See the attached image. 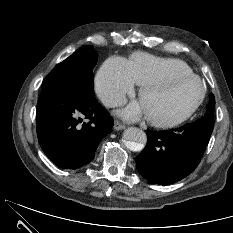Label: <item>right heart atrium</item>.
Wrapping results in <instances>:
<instances>
[{"label": "right heart atrium", "mask_w": 233, "mask_h": 233, "mask_svg": "<svg viewBox=\"0 0 233 233\" xmlns=\"http://www.w3.org/2000/svg\"><path fill=\"white\" fill-rule=\"evenodd\" d=\"M93 89L106 107L122 105L135 91V84L129 75L126 61L120 57L106 60L94 76Z\"/></svg>", "instance_id": "obj_1"}]
</instances>
